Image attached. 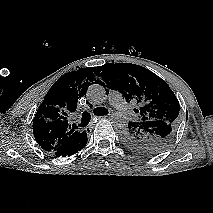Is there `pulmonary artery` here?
<instances>
[{
    "label": "pulmonary artery",
    "mask_w": 213,
    "mask_h": 213,
    "mask_svg": "<svg viewBox=\"0 0 213 213\" xmlns=\"http://www.w3.org/2000/svg\"><path fill=\"white\" fill-rule=\"evenodd\" d=\"M108 99L111 105H113L117 111L124 117H131L132 111L130 110L128 104L122 98V95L117 90H112L109 92Z\"/></svg>",
    "instance_id": "obj_1"
}]
</instances>
